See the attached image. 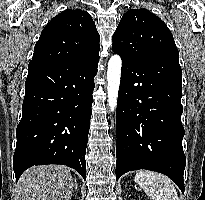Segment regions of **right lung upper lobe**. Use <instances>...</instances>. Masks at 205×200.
Here are the masks:
<instances>
[{
    "label": "right lung upper lobe",
    "instance_id": "cb5924a9",
    "mask_svg": "<svg viewBox=\"0 0 205 200\" xmlns=\"http://www.w3.org/2000/svg\"><path fill=\"white\" fill-rule=\"evenodd\" d=\"M99 33L92 17L66 9L43 29L31 62L70 63L99 54Z\"/></svg>",
    "mask_w": 205,
    "mask_h": 200
}]
</instances>
